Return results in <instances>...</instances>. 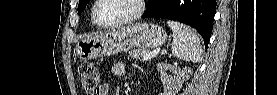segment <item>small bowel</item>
Listing matches in <instances>:
<instances>
[{
	"mask_svg": "<svg viewBox=\"0 0 277 95\" xmlns=\"http://www.w3.org/2000/svg\"><path fill=\"white\" fill-rule=\"evenodd\" d=\"M113 74L120 76V77H126L127 75V68L125 63L123 62H117L112 67ZM110 92V86L109 84L105 83L100 85L98 88V94L99 95H108Z\"/></svg>",
	"mask_w": 277,
	"mask_h": 95,
	"instance_id": "1",
	"label": "small bowel"
}]
</instances>
